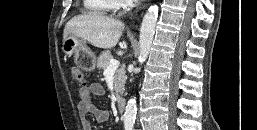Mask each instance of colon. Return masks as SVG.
I'll use <instances>...</instances> for the list:
<instances>
[{
  "label": "colon",
  "instance_id": "obj_1",
  "mask_svg": "<svg viewBox=\"0 0 257 130\" xmlns=\"http://www.w3.org/2000/svg\"><path fill=\"white\" fill-rule=\"evenodd\" d=\"M71 74H72V77L73 79L79 83V84H83L84 81H85V77H84V73L82 72L81 69L77 68V67H74L72 68L71 70Z\"/></svg>",
  "mask_w": 257,
  "mask_h": 130
}]
</instances>
